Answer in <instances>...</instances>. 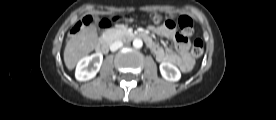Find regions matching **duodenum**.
<instances>
[{
	"mask_svg": "<svg viewBox=\"0 0 276 120\" xmlns=\"http://www.w3.org/2000/svg\"><path fill=\"white\" fill-rule=\"evenodd\" d=\"M133 37L143 39L147 43V45L150 44L149 37L147 35H145L144 33L136 34ZM109 46H110L109 42L104 40V41L98 42L96 48H97L98 52H100L102 54H106L109 51Z\"/></svg>",
	"mask_w": 276,
	"mask_h": 120,
	"instance_id": "410a0bca",
	"label": "duodenum"
}]
</instances>
